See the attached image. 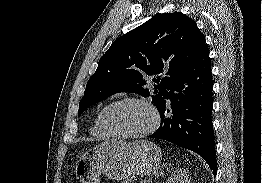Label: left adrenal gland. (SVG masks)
<instances>
[{
  "label": "left adrenal gland",
  "instance_id": "1",
  "mask_svg": "<svg viewBox=\"0 0 262 183\" xmlns=\"http://www.w3.org/2000/svg\"><path fill=\"white\" fill-rule=\"evenodd\" d=\"M161 174L163 175V170H161Z\"/></svg>",
  "mask_w": 262,
  "mask_h": 183
}]
</instances>
